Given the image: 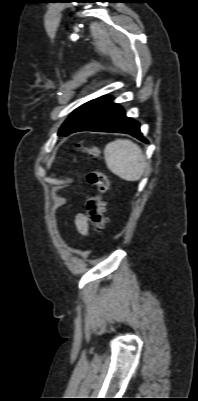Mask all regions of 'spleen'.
I'll list each match as a JSON object with an SVG mask.
<instances>
[{
    "label": "spleen",
    "mask_w": 198,
    "mask_h": 401,
    "mask_svg": "<svg viewBox=\"0 0 198 401\" xmlns=\"http://www.w3.org/2000/svg\"><path fill=\"white\" fill-rule=\"evenodd\" d=\"M108 169L126 181H138L142 177L146 160L141 148L127 139H116L104 149Z\"/></svg>",
    "instance_id": "spleen-1"
}]
</instances>
